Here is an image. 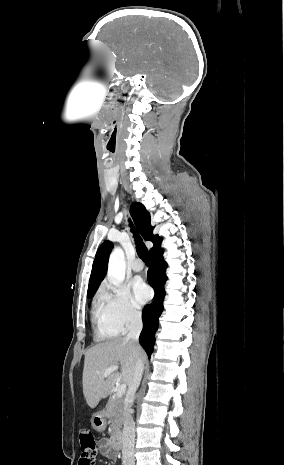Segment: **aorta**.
Segmentation results:
<instances>
[{
  "label": "aorta",
  "instance_id": "obj_1",
  "mask_svg": "<svg viewBox=\"0 0 284 465\" xmlns=\"http://www.w3.org/2000/svg\"><path fill=\"white\" fill-rule=\"evenodd\" d=\"M126 262L123 250L116 247L109 258L108 276L114 283H122L125 279Z\"/></svg>",
  "mask_w": 284,
  "mask_h": 465
}]
</instances>
